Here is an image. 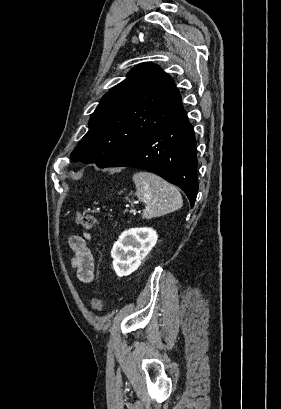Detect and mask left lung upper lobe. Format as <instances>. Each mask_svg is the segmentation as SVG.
Wrapping results in <instances>:
<instances>
[{
  "instance_id": "left-lung-upper-lobe-1",
  "label": "left lung upper lobe",
  "mask_w": 281,
  "mask_h": 409,
  "mask_svg": "<svg viewBox=\"0 0 281 409\" xmlns=\"http://www.w3.org/2000/svg\"><path fill=\"white\" fill-rule=\"evenodd\" d=\"M182 107L173 79L157 65L142 63L103 96L71 160L102 168Z\"/></svg>"
}]
</instances>
